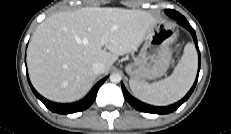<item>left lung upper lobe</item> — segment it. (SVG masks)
<instances>
[{
  "instance_id": "obj_1",
  "label": "left lung upper lobe",
  "mask_w": 231,
  "mask_h": 134,
  "mask_svg": "<svg viewBox=\"0 0 231 134\" xmlns=\"http://www.w3.org/2000/svg\"><path fill=\"white\" fill-rule=\"evenodd\" d=\"M166 13L169 15V16H172L173 14H175V11L174 10H166Z\"/></svg>"
}]
</instances>
